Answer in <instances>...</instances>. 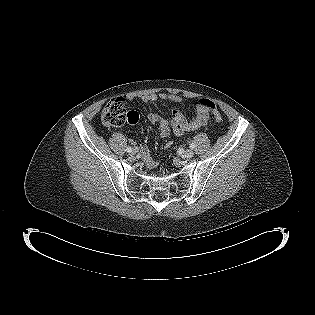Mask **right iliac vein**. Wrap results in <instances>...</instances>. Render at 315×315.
<instances>
[{
  "mask_svg": "<svg viewBox=\"0 0 315 315\" xmlns=\"http://www.w3.org/2000/svg\"><path fill=\"white\" fill-rule=\"evenodd\" d=\"M137 152V149H133V151L131 152V156H134Z\"/></svg>",
  "mask_w": 315,
  "mask_h": 315,
  "instance_id": "obj_1",
  "label": "right iliac vein"
}]
</instances>
